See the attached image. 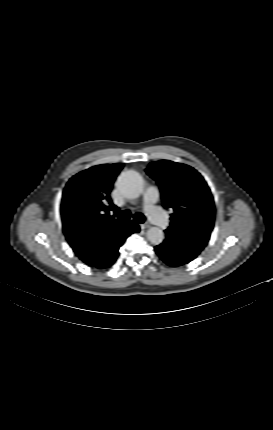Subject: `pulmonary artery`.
<instances>
[{
    "instance_id": "e3ab8cb5",
    "label": "pulmonary artery",
    "mask_w": 273,
    "mask_h": 430,
    "mask_svg": "<svg viewBox=\"0 0 273 430\" xmlns=\"http://www.w3.org/2000/svg\"><path fill=\"white\" fill-rule=\"evenodd\" d=\"M159 197L160 193L158 188L156 186H149L144 193V208L149 218L160 228L165 229L168 222L162 210L156 205Z\"/></svg>"
}]
</instances>
